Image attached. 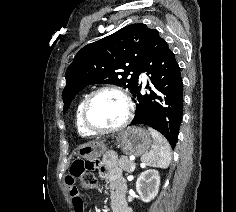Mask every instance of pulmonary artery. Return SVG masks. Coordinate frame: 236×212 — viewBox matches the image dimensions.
Wrapping results in <instances>:
<instances>
[{"label":"pulmonary artery","mask_w":236,"mask_h":212,"mask_svg":"<svg viewBox=\"0 0 236 212\" xmlns=\"http://www.w3.org/2000/svg\"><path fill=\"white\" fill-rule=\"evenodd\" d=\"M142 77L145 79L146 78V75L144 73H142Z\"/></svg>","instance_id":"1"}]
</instances>
